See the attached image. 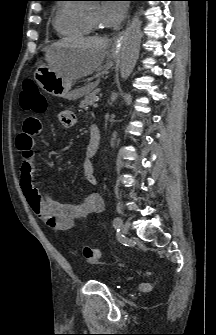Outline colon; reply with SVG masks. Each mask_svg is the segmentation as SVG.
<instances>
[{
    "instance_id": "5ec220e1",
    "label": "colon",
    "mask_w": 216,
    "mask_h": 335,
    "mask_svg": "<svg viewBox=\"0 0 216 335\" xmlns=\"http://www.w3.org/2000/svg\"><path fill=\"white\" fill-rule=\"evenodd\" d=\"M22 107L36 114L43 113L47 108V100L35 81L25 80L20 99ZM85 260L90 264H97L101 260V252L93 247L85 246L82 249Z\"/></svg>"
}]
</instances>
